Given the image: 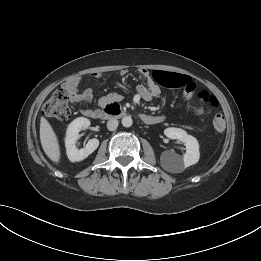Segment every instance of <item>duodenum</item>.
Instances as JSON below:
<instances>
[{
  "label": "duodenum",
  "instance_id": "1",
  "mask_svg": "<svg viewBox=\"0 0 261 261\" xmlns=\"http://www.w3.org/2000/svg\"><path fill=\"white\" fill-rule=\"evenodd\" d=\"M125 114V111L121 108V106L118 103L109 102L104 106L103 109L89 112L88 116L92 118H109L120 117L124 116ZM141 119L146 123H150L149 116L147 115H142Z\"/></svg>",
  "mask_w": 261,
  "mask_h": 261
}]
</instances>
